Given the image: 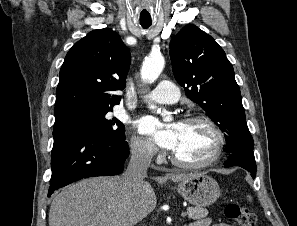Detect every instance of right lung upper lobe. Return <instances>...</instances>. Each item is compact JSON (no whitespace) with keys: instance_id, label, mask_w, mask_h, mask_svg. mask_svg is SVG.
<instances>
[{"instance_id":"1","label":"right lung upper lobe","mask_w":297,"mask_h":226,"mask_svg":"<svg viewBox=\"0 0 297 226\" xmlns=\"http://www.w3.org/2000/svg\"><path fill=\"white\" fill-rule=\"evenodd\" d=\"M129 49L110 28L93 30L67 53L56 89L55 121L90 110H112L129 71Z\"/></svg>"}]
</instances>
